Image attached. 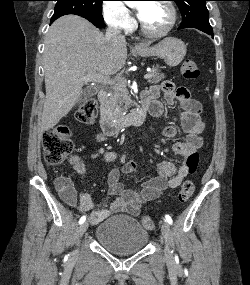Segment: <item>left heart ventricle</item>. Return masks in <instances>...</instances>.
Wrapping results in <instances>:
<instances>
[{
	"instance_id": "1",
	"label": "left heart ventricle",
	"mask_w": 250,
	"mask_h": 285,
	"mask_svg": "<svg viewBox=\"0 0 250 285\" xmlns=\"http://www.w3.org/2000/svg\"><path fill=\"white\" fill-rule=\"evenodd\" d=\"M142 9L141 21L144 26L152 32L162 31L170 21L168 8L159 2L141 3L138 6Z\"/></svg>"
}]
</instances>
